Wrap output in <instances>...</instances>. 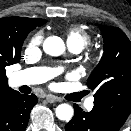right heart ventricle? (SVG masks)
I'll use <instances>...</instances> for the list:
<instances>
[{
  "instance_id": "obj_1",
  "label": "right heart ventricle",
  "mask_w": 131,
  "mask_h": 131,
  "mask_svg": "<svg viewBox=\"0 0 131 131\" xmlns=\"http://www.w3.org/2000/svg\"><path fill=\"white\" fill-rule=\"evenodd\" d=\"M66 41L69 47H79L83 49L91 42L90 34L77 25H71L66 29Z\"/></svg>"
}]
</instances>
